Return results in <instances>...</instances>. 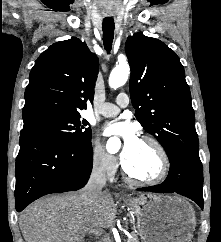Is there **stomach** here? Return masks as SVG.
I'll return each instance as SVG.
<instances>
[{"mask_svg": "<svg viewBox=\"0 0 221 242\" xmlns=\"http://www.w3.org/2000/svg\"><path fill=\"white\" fill-rule=\"evenodd\" d=\"M137 217L143 242H190L196 225L192 206L177 195L141 194L124 199Z\"/></svg>", "mask_w": 221, "mask_h": 242, "instance_id": "stomach-1", "label": "stomach"}]
</instances>
